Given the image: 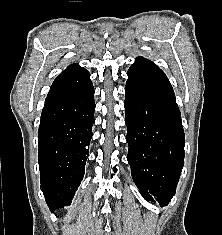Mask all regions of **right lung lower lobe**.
Wrapping results in <instances>:
<instances>
[{
    "label": "right lung lower lobe",
    "instance_id": "obj_1",
    "mask_svg": "<svg viewBox=\"0 0 222 235\" xmlns=\"http://www.w3.org/2000/svg\"><path fill=\"white\" fill-rule=\"evenodd\" d=\"M94 110V87L86 69L54 80L38 131L41 190L51 211L70 205L83 179Z\"/></svg>",
    "mask_w": 222,
    "mask_h": 235
}]
</instances>
